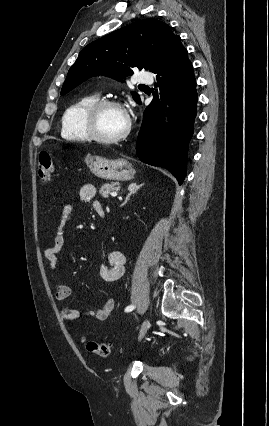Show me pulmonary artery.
Masks as SVG:
<instances>
[{
    "label": "pulmonary artery",
    "instance_id": "1",
    "mask_svg": "<svg viewBox=\"0 0 269 426\" xmlns=\"http://www.w3.org/2000/svg\"><path fill=\"white\" fill-rule=\"evenodd\" d=\"M136 81L141 86H145L153 82V77L150 74L143 72V73L137 74Z\"/></svg>",
    "mask_w": 269,
    "mask_h": 426
}]
</instances>
